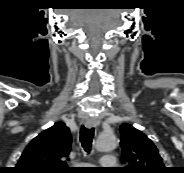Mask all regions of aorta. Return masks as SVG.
<instances>
[{"label": "aorta", "mask_w": 184, "mask_h": 173, "mask_svg": "<svg viewBox=\"0 0 184 173\" xmlns=\"http://www.w3.org/2000/svg\"><path fill=\"white\" fill-rule=\"evenodd\" d=\"M117 138L114 133H103L96 141V149L101 152H109L116 148Z\"/></svg>", "instance_id": "1"}]
</instances>
